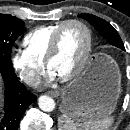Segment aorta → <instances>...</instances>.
Masks as SVG:
<instances>
[{"instance_id":"aorta-1","label":"aorta","mask_w":130,"mask_h":130,"mask_svg":"<svg viewBox=\"0 0 130 130\" xmlns=\"http://www.w3.org/2000/svg\"><path fill=\"white\" fill-rule=\"evenodd\" d=\"M38 105H39V108L45 112L53 111L55 108L54 100L47 95H42L39 97Z\"/></svg>"}]
</instances>
